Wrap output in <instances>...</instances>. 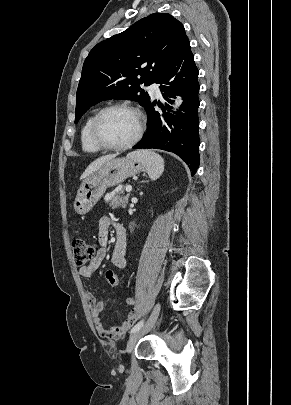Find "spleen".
Listing matches in <instances>:
<instances>
[{
  "label": "spleen",
  "instance_id": "spleen-1",
  "mask_svg": "<svg viewBox=\"0 0 291 405\" xmlns=\"http://www.w3.org/2000/svg\"><path fill=\"white\" fill-rule=\"evenodd\" d=\"M129 158L140 162L148 173L151 180L158 179L164 171L163 158L149 150H138L127 155Z\"/></svg>",
  "mask_w": 291,
  "mask_h": 405
}]
</instances>
